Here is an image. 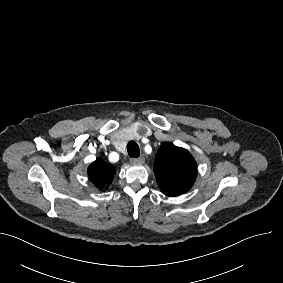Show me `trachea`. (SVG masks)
Listing matches in <instances>:
<instances>
[{
	"instance_id": "trachea-1",
	"label": "trachea",
	"mask_w": 283,
	"mask_h": 283,
	"mask_svg": "<svg viewBox=\"0 0 283 283\" xmlns=\"http://www.w3.org/2000/svg\"><path fill=\"white\" fill-rule=\"evenodd\" d=\"M127 151H128V155L132 158H136L139 157L140 155V150H139V146L136 142L134 141H130L127 144Z\"/></svg>"
}]
</instances>
